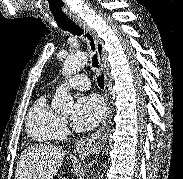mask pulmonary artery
Masks as SVG:
<instances>
[{
	"label": "pulmonary artery",
	"instance_id": "e3ab8cb5",
	"mask_svg": "<svg viewBox=\"0 0 183 179\" xmlns=\"http://www.w3.org/2000/svg\"><path fill=\"white\" fill-rule=\"evenodd\" d=\"M68 85L77 90H87L90 87V81L86 75L78 74L68 80Z\"/></svg>",
	"mask_w": 183,
	"mask_h": 179
}]
</instances>
